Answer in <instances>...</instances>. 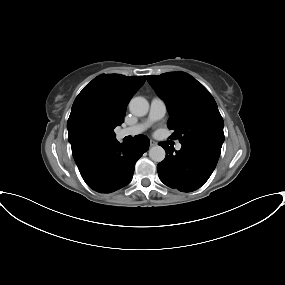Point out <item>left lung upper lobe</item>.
Returning a JSON list of instances; mask_svg holds the SVG:
<instances>
[{
    "instance_id": "left-lung-upper-lobe-1",
    "label": "left lung upper lobe",
    "mask_w": 285,
    "mask_h": 285,
    "mask_svg": "<svg viewBox=\"0 0 285 285\" xmlns=\"http://www.w3.org/2000/svg\"><path fill=\"white\" fill-rule=\"evenodd\" d=\"M170 113L167 122L181 144L204 145L221 150L224 122L209 91L191 75L169 72L147 76Z\"/></svg>"
}]
</instances>
